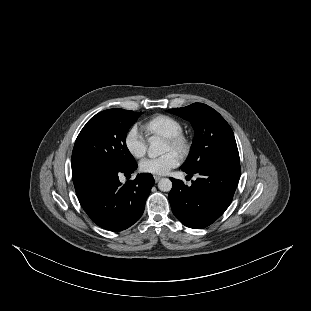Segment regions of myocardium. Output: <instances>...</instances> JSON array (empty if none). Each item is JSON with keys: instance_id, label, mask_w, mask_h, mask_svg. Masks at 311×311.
<instances>
[{"instance_id": "f54148a6", "label": "myocardium", "mask_w": 311, "mask_h": 311, "mask_svg": "<svg viewBox=\"0 0 311 311\" xmlns=\"http://www.w3.org/2000/svg\"><path fill=\"white\" fill-rule=\"evenodd\" d=\"M166 142L172 145L183 158H187L191 154L194 146L192 137L184 132L166 138Z\"/></svg>"}]
</instances>
